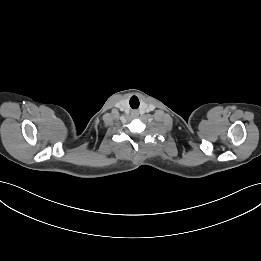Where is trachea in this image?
I'll return each instance as SVG.
<instances>
[{"instance_id": "obj_1", "label": "trachea", "mask_w": 261, "mask_h": 261, "mask_svg": "<svg viewBox=\"0 0 261 261\" xmlns=\"http://www.w3.org/2000/svg\"><path fill=\"white\" fill-rule=\"evenodd\" d=\"M134 100L136 101V105H133ZM130 105H131L132 108H138V106H139L138 99L136 97H132L131 100H130Z\"/></svg>"}]
</instances>
